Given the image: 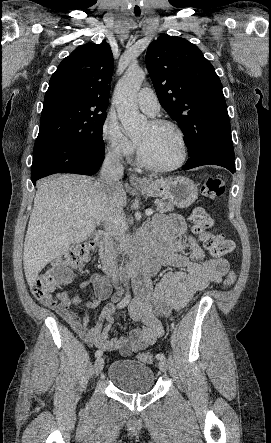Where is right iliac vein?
I'll return each instance as SVG.
<instances>
[{"label": "right iliac vein", "mask_w": 271, "mask_h": 443, "mask_svg": "<svg viewBox=\"0 0 271 443\" xmlns=\"http://www.w3.org/2000/svg\"><path fill=\"white\" fill-rule=\"evenodd\" d=\"M104 368V359L99 357L94 364V373L95 375H99Z\"/></svg>", "instance_id": "obj_1"}]
</instances>
